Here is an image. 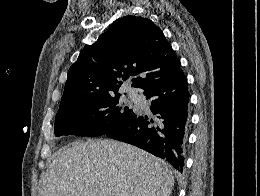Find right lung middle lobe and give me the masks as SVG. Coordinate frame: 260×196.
<instances>
[{
	"label": "right lung middle lobe",
	"instance_id": "dd1d6c3e",
	"mask_svg": "<svg viewBox=\"0 0 260 196\" xmlns=\"http://www.w3.org/2000/svg\"><path fill=\"white\" fill-rule=\"evenodd\" d=\"M119 93L94 94L59 110L55 118V136L98 137L136 119L129 107L120 105Z\"/></svg>",
	"mask_w": 260,
	"mask_h": 196
}]
</instances>
